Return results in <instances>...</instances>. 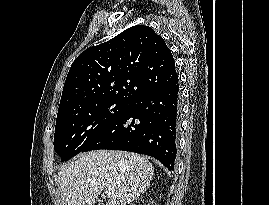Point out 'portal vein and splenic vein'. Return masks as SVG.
<instances>
[{
	"label": "portal vein and splenic vein",
	"mask_w": 269,
	"mask_h": 205,
	"mask_svg": "<svg viewBox=\"0 0 269 205\" xmlns=\"http://www.w3.org/2000/svg\"><path fill=\"white\" fill-rule=\"evenodd\" d=\"M105 194H107L108 196H110L112 194V190L111 189H106L105 190Z\"/></svg>",
	"instance_id": "1"
}]
</instances>
